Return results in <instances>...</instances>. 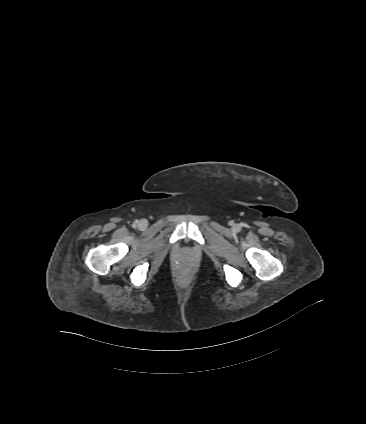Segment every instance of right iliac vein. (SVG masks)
<instances>
[{
	"mask_svg": "<svg viewBox=\"0 0 366 424\" xmlns=\"http://www.w3.org/2000/svg\"><path fill=\"white\" fill-rule=\"evenodd\" d=\"M147 226V221L145 219H142L139 221V227L145 228Z\"/></svg>",
	"mask_w": 366,
	"mask_h": 424,
	"instance_id": "1",
	"label": "right iliac vein"
}]
</instances>
